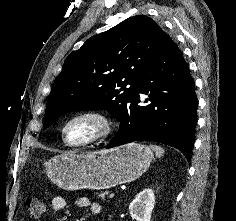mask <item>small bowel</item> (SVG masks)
I'll list each match as a JSON object with an SVG mask.
<instances>
[{"label": "small bowel", "mask_w": 236, "mask_h": 221, "mask_svg": "<svg viewBox=\"0 0 236 221\" xmlns=\"http://www.w3.org/2000/svg\"><path fill=\"white\" fill-rule=\"evenodd\" d=\"M77 207L88 208L93 215L102 213V205L98 202H92L87 197H78L75 201ZM66 206V200L63 197L57 196L51 200V208L53 211H61Z\"/></svg>", "instance_id": "small-bowel-1"}]
</instances>
